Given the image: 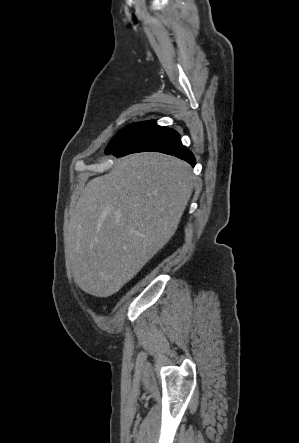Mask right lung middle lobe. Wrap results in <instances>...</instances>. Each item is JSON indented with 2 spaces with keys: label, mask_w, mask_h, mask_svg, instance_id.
<instances>
[{
  "label": "right lung middle lobe",
  "mask_w": 299,
  "mask_h": 443,
  "mask_svg": "<svg viewBox=\"0 0 299 443\" xmlns=\"http://www.w3.org/2000/svg\"><path fill=\"white\" fill-rule=\"evenodd\" d=\"M126 129V128H125ZM125 129H123V130H121L112 140H111V142L109 143V145H108V147H110L111 145H113L114 144V142L116 141V139L124 132V130ZM107 147V148H108Z\"/></svg>",
  "instance_id": "right-lung-middle-lobe-1"
}]
</instances>
